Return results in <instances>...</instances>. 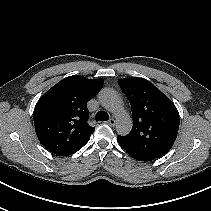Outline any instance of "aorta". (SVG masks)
<instances>
[{
	"instance_id": "762f6f07",
	"label": "aorta",
	"mask_w": 211,
	"mask_h": 211,
	"mask_svg": "<svg viewBox=\"0 0 211 211\" xmlns=\"http://www.w3.org/2000/svg\"><path fill=\"white\" fill-rule=\"evenodd\" d=\"M99 101L115 116L117 133L122 136L129 134L132 129V120L116 92L111 89H103L99 94Z\"/></svg>"
}]
</instances>
